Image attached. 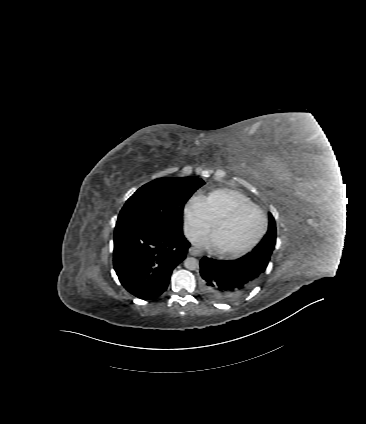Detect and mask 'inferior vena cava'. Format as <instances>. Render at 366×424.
I'll list each match as a JSON object with an SVG mask.
<instances>
[{
  "label": "inferior vena cava",
  "mask_w": 366,
  "mask_h": 424,
  "mask_svg": "<svg viewBox=\"0 0 366 424\" xmlns=\"http://www.w3.org/2000/svg\"><path fill=\"white\" fill-rule=\"evenodd\" d=\"M184 235L191 243H196L199 241V236L197 231L190 226L184 227Z\"/></svg>",
  "instance_id": "1"
}]
</instances>
